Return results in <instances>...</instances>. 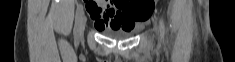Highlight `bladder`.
<instances>
[{"label": "bladder", "mask_w": 235, "mask_h": 62, "mask_svg": "<svg viewBox=\"0 0 235 62\" xmlns=\"http://www.w3.org/2000/svg\"><path fill=\"white\" fill-rule=\"evenodd\" d=\"M108 36L113 38H127L131 35V31L117 30V29H109L105 32Z\"/></svg>", "instance_id": "obj_1"}]
</instances>
